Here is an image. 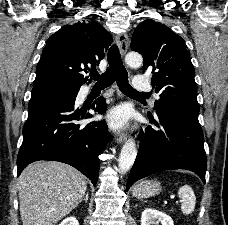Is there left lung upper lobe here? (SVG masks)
I'll return each instance as SVG.
<instances>
[{
    "label": "left lung upper lobe",
    "instance_id": "5c2ea615",
    "mask_svg": "<svg viewBox=\"0 0 228 225\" xmlns=\"http://www.w3.org/2000/svg\"><path fill=\"white\" fill-rule=\"evenodd\" d=\"M131 49L143 59V72L153 74L151 83L160 99L155 109L177 106L199 111L194 67L185 41L166 25L144 20L132 35Z\"/></svg>",
    "mask_w": 228,
    "mask_h": 225
}]
</instances>
